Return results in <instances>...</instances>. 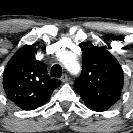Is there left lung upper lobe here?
Listing matches in <instances>:
<instances>
[{"label": "left lung upper lobe", "mask_w": 133, "mask_h": 133, "mask_svg": "<svg viewBox=\"0 0 133 133\" xmlns=\"http://www.w3.org/2000/svg\"><path fill=\"white\" fill-rule=\"evenodd\" d=\"M82 73L74 88L86 106L93 111H106L121 94L124 77L116 58L103 47L82 48Z\"/></svg>", "instance_id": "1"}]
</instances>
